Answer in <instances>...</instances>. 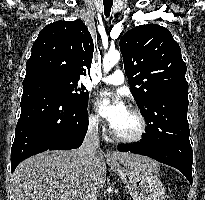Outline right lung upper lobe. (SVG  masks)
<instances>
[{
  "instance_id": "cb5924a9",
  "label": "right lung upper lobe",
  "mask_w": 205,
  "mask_h": 200,
  "mask_svg": "<svg viewBox=\"0 0 205 200\" xmlns=\"http://www.w3.org/2000/svg\"><path fill=\"white\" fill-rule=\"evenodd\" d=\"M94 44L88 28L77 19L45 26L32 46L24 81L43 74L79 80L91 66Z\"/></svg>"
}]
</instances>
